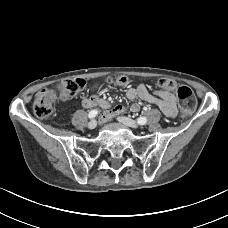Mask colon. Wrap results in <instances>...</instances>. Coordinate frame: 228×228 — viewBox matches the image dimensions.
Masks as SVG:
<instances>
[{
  "mask_svg": "<svg viewBox=\"0 0 228 228\" xmlns=\"http://www.w3.org/2000/svg\"><path fill=\"white\" fill-rule=\"evenodd\" d=\"M108 83L115 85H126L128 78L125 76L109 77ZM159 86L167 91L176 90L181 112L184 116L191 114L197 105V99L193 91L185 86H177L176 82L170 78H161L158 81ZM85 86V80L81 78H69L63 80L59 87L58 93L50 89H43L35 97L33 103L34 114L40 118L45 119L49 117L53 111V106L59 97L66 100L80 93Z\"/></svg>",
  "mask_w": 228,
  "mask_h": 228,
  "instance_id": "1",
  "label": "colon"
}]
</instances>
